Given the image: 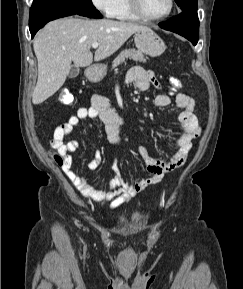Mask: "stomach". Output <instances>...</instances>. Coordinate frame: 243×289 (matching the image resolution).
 <instances>
[{"instance_id": "1", "label": "stomach", "mask_w": 243, "mask_h": 289, "mask_svg": "<svg viewBox=\"0 0 243 289\" xmlns=\"http://www.w3.org/2000/svg\"><path fill=\"white\" fill-rule=\"evenodd\" d=\"M134 42L139 51L151 57L161 55L166 48L164 41L148 27H145L144 29L135 33ZM105 75V65H97L86 71L87 78L92 82L100 81Z\"/></svg>"}]
</instances>
